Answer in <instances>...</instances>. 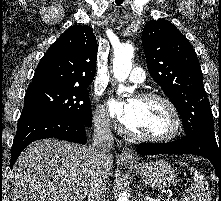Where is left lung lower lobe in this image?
I'll return each mask as SVG.
<instances>
[{
	"mask_svg": "<svg viewBox=\"0 0 221 201\" xmlns=\"http://www.w3.org/2000/svg\"><path fill=\"white\" fill-rule=\"evenodd\" d=\"M141 155L156 154H195L207 158L221 179V143L206 132L195 130L186 133L181 140L169 143H144L137 147Z\"/></svg>",
	"mask_w": 221,
	"mask_h": 201,
	"instance_id": "obj_1",
	"label": "left lung lower lobe"
}]
</instances>
